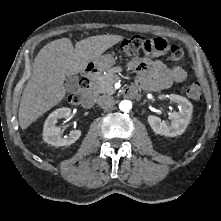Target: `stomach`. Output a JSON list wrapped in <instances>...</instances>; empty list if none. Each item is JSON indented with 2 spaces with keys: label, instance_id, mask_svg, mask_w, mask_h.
<instances>
[{
  "label": "stomach",
  "instance_id": "stomach-1",
  "mask_svg": "<svg viewBox=\"0 0 221 221\" xmlns=\"http://www.w3.org/2000/svg\"><path fill=\"white\" fill-rule=\"evenodd\" d=\"M115 64V59L110 54H105L94 60L95 67L100 70H108Z\"/></svg>",
  "mask_w": 221,
  "mask_h": 221
}]
</instances>
